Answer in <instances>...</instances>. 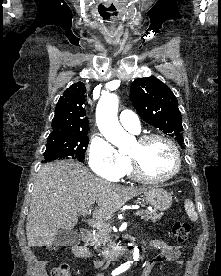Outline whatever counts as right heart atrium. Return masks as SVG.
<instances>
[{
  "instance_id": "d8ad5b80",
  "label": "right heart atrium",
  "mask_w": 221,
  "mask_h": 276,
  "mask_svg": "<svg viewBox=\"0 0 221 276\" xmlns=\"http://www.w3.org/2000/svg\"><path fill=\"white\" fill-rule=\"evenodd\" d=\"M88 164L98 176L117 181L124 174L127 158L106 139L95 136L88 148Z\"/></svg>"
}]
</instances>
